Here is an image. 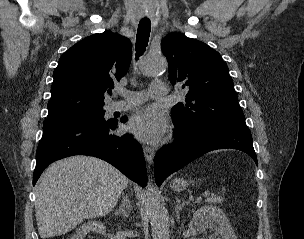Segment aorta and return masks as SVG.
Returning <instances> with one entry per match:
<instances>
[{
  "instance_id": "1",
  "label": "aorta",
  "mask_w": 304,
  "mask_h": 239,
  "mask_svg": "<svg viewBox=\"0 0 304 239\" xmlns=\"http://www.w3.org/2000/svg\"><path fill=\"white\" fill-rule=\"evenodd\" d=\"M167 67L168 63L164 56H147L142 63L141 71L143 75L148 77L158 76L163 74ZM147 210L153 239H170L168 214L150 179L147 183Z\"/></svg>"
}]
</instances>
